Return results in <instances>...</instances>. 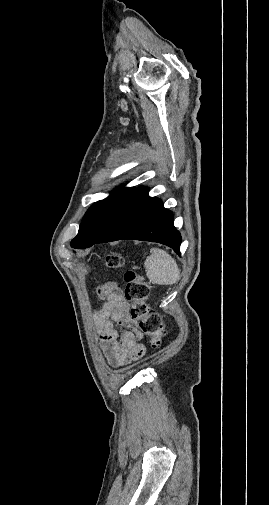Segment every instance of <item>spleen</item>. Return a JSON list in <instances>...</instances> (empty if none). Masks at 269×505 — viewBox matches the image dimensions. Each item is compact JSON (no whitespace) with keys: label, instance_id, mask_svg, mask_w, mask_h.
I'll list each match as a JSON object with an SVG mask.
<instances>
[{"label":"spleen","instance_id":"spleen-1","mask_svg":"<svg viewBox=\"0 0 269 505\" xmlns=\"http://www.w3.org/2000/svg\"><path fill=\"white\" fill-rule=\"evenodd\" d=\"M144 267L146 276L155 284L172 285L180 278L176 260L163 249L151 248Z\"/></svg>","mask_w":269,"mask_h":505}]
</instances>
